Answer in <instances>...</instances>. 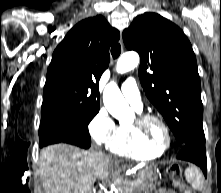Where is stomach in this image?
Segmentation results:
<instances>
[{
	"label": "stomach",
	"instance_id": "stomach-1",
	"mask_svg": "<svg viewBox=\"0 0 221 193\" xmlns=\"http://www.w3.org/2000/svg\"><path fill=\"white\" fill-rule=\"evenodd\" d=\"M145 179H156V174H145Z\"/></svg>",
	"mask_w": 221,
	"mask_h": 193
}]
</instances>
